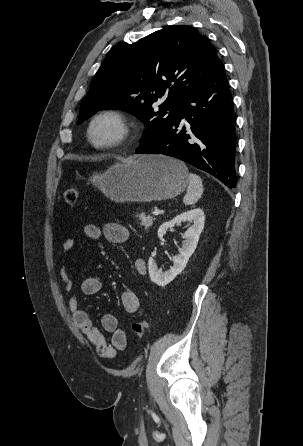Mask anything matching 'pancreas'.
Listing matches in <instances>:
<instances>
[{
    "label": "pancreas",
    "mask_w": 303,
    "mask_h": 446,
    "mask_svg": "<svg viewBox=\"0 0 303 446\" xmlns=\"http://www.w3.org/2000/svg\"><path fill=\"white\" fill-rule=\"evenodd\" d=\"M139 219L141 220V226L145 229L150 228L153 225V217L150 215L140 214Z\"/></svg>",
    "instance_id": "obj_1"
}]
</instances>
